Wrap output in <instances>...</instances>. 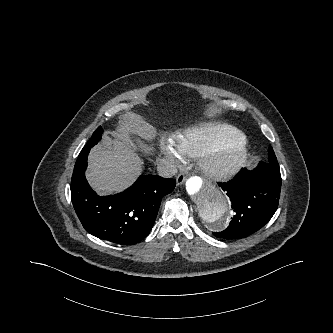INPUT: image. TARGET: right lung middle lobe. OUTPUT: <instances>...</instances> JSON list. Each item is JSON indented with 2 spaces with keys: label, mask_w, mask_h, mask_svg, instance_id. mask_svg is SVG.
<instances>
[{
  "label": "right lung middle lobe",
  "mask_w": 333,
  "mask_h": 333,
  "mask_svg": "<svg viewBox=\"0 0 333 333\" xmlns=\"http://www.w3.org/2000/svg\"><path fill=\"white\" fill-rule=\"evenodd\" d=\"M103 133V130L100 127H98L96 129V131L93 133L92 137L90 138V140L87 142V145H95L98 143V141L101 139V134Z\"/></svg>",
  "instance_id": "dd1d6c3e"
}]
</instances>
